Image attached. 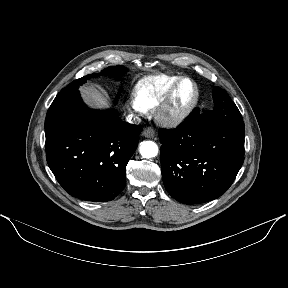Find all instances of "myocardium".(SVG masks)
<instances>
[{"instance_id": "1", "label": "myocardium", "mask_w": 288, "mask_h": 288, "mask_svg": "<svg viewBox=\"0 0 288 288\" xmlns=\"http://www.w3.org/2000/svg\"><path fill=\"white\" fill-rule=\"evenodd\" d=\"M185 82H189L191 84L193 94L185 105L175 109L174 103L177 93L181 85ZM199 98L200 90L197 83L189 77H182L174 83L165 98L159 104L157 111L158 117L167 126H179L185 123L191 117L198 105Z\"/></svg>"}]
</instances>
